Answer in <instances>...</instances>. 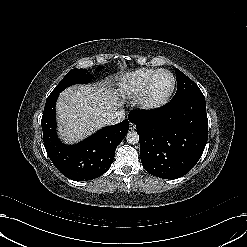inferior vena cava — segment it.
I'll return each instance as SVG.
<instances>
[{
	"label": "inferior vena cava",
	"instance_id": "602c4592",
	"mask_svg": "<svg viewBox=\"0 0 247 247\" xmlns=\"http://www.w3.org/2000/svg\"><path fill=\"white\" fill-rule=\"evenodd\" d=\"M124 118H125V112H124V110L114 111V112L109 113L106 116L105 123L107 125L118 124L122 120H124Z\"/></svg>",
	"mask_w": 247,
	"mask_h": 247
}]
</instances>
